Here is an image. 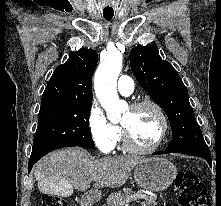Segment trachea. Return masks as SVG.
<instances>
[{
	"instance_id": "trachea-1",
	"label": "trachea",
	"mask_w": 221,
	"mask_h": 206,
	"mask_svg": "<svg viewBox=\"0 0 221 206\" xmlns=\"http://www.w3.org/2000/svg\"><path fill=\"white\" fill-rule=\"evenodd\" d=\"M104 18L109 21L112 19V16H109V17L105 16Z\"/></svg>"
}]
</instances>
